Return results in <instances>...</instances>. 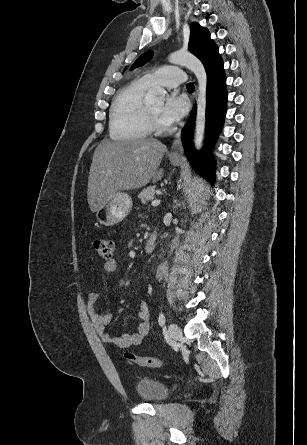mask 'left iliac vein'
Here are the masks:
<instances>
[{"label":"left iliac vein","instance_id":"left-iliac-vein-1","mask_svg":"<svg viewBox=\"0 0 307 445\" xmlns=\"http://www.w3.org/2000/svg\"><path fill=\"white\" fill-rule=\"evenodd\" d=\"M168 336L171 341L178 340L182 336L180 327L175 323H171L168 326Z\"/></svg>","mask_w":307,"mask_h":445}]
</instances>
